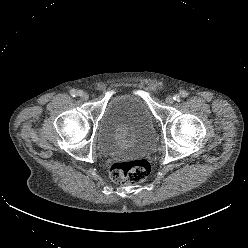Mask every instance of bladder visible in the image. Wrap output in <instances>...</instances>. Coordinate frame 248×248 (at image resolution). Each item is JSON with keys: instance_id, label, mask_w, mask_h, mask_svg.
<instances>
[{"instance_id": "bladder-1", "label": "bladder", "mask_w": 248, "mask_h": 248, "mask_svg": "<svg viewBox=\"0 0 248 248\" xmlns=\"http://www.w3.org/2000/svg\"><path fill=\"white\" fill-rule=\"evenodd\" d=\"M97 138L108 154L149 153L155 148L153 117L142 98L116 94L105 104Z\"/></svg>"}]
</instances>
